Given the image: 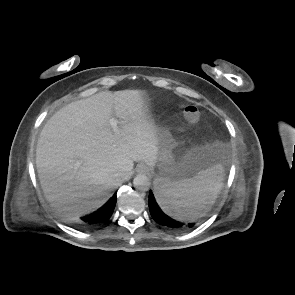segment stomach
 <instances>
[{
    "mask_svg": "<svg viewBox=\"0 0 295 295\" xmlns=\"http://www.w3.org/2000/svg\"><path fill=\"white\" fill-rule=\"evenodd\" d=\"M159 152L156 161L158 174L164 179L181 180L195 177L200 171L213 166V161H203L204 150L191 148L182 151L181 144L175 140L169 128L157 126Z\"/></svg>",
    "mask_w": 295,
    "mask_h": 295,
    "instance_id": "obj_1",
    "label": "stomach"
}]
</instances>
